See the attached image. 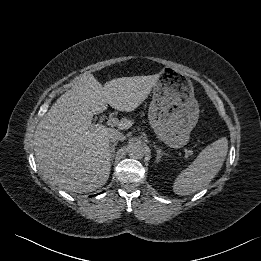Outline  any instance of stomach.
<instances>
[{"instance_id":"stomach-1","label":"stomach","mask_w":261,"mask_h":261,"mask_svg":"<svg viewBox=\"0 0 261 261\" xmlns=\"http://www.w3.org/2000/svg\"><path fill=\"white\" fill-rule=\"evenodd\" d=\"M199 104L191 80L170 67L153 86L149 123L157 137L172 148L184 146L198 122Z\"/></svg>"}]
</instances>
